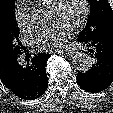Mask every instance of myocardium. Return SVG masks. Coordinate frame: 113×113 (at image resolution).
I'll return each mask as SVG.
<instances>
[{
  "label": "myocardium",
  "instance_id": "obj_1",
  "mask_svg": "<svg viewBox=\"0 0 113 113\" xmlns=\"http://www.w3.org/2000/svg\"><path fill=\"white\" fill-rule=\"evenodd\" d=\"M83 4V10L79 19L73 25L74 28H80L83 24L86 23L89 14H90V2L88 0H81ZM64 0H54L51 4L52 9L60 10L62 8Z\"/></svg>",
  "mask_w": 113,
  "mask_h": 113
}]
</instances>
